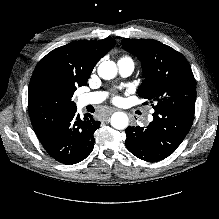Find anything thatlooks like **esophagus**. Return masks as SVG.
Segmentation results:
<instances>
[{
  "instance_id": "esophagus-1",
  "label": "esophagus",
  "mask_w": 219,
  "mask_h": 219,
  "mask_svg": "<svg viewBox=\"0 0 219 219\" xmlns=\"http://www.w3.org/2000/svg\"><path fill=\"white\" fill-rule=\"evenodd\" d=\"M115 111H117L116 108H111V109H109V110L107 111V113H108V114H111V113H113V112H115ZM104 120L106 121V120H107V117H104Z\"/></svg>"
}]
</instances>
